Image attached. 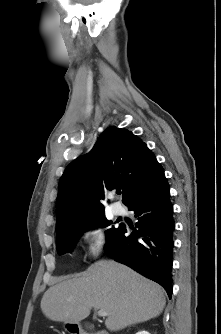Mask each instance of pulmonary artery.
<instances>
[{"label":"pulmonary artery","mask_w":221,"mask_h":334,"mask_svg":"<svg viewBox=\"0 0 221 334\" xmlns=\"http://www.w3.org/2000/svg\"><path fill=\"white\" fill-rule=\"evenodd\" d=\"M112 212L114 213V215L120 216V215H123L125 213V210L120 204L114 203L112 205Z\"/></svg>","instance_id":"pulmonary-artery-1"}]
</instances>
